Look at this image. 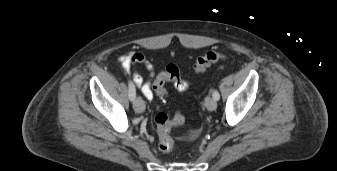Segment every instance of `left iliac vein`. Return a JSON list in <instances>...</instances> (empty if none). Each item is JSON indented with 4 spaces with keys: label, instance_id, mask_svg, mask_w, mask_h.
Returning <instances> with one entry per match:
<instances>
[{
    "label": "left iliac vein",
    "instance_id": "left-iliac-vein-1",
    "mask_svg": "<svg viewBox=\"0 0 337 171\" xmlns=\"http://www.w3.org/2000/svg\"><path fill=\"white\" fill-rule=\"evenodd\" d=\"M205 106L208 110L213 111L217 107V102L214 98L207 96L205 98Z\"/></svg>",
    "mask_w": 337,
    "mask_h": 171
}]
</instances>
